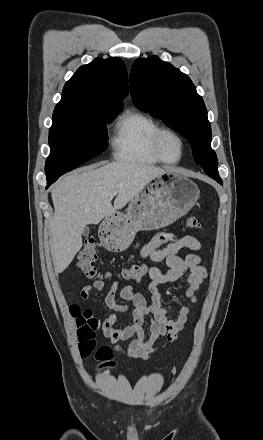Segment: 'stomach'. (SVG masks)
<instances>
[{
  "mask_svg": "<svg viewBox=\"0 0 263 440\" xmlns=\"http://www.w3.org/2000/svg\"><path fill=\"white\" fill-rule=\"evenodd\" d=\"M199 195L193 181L168 171L135 196L126 212H115L103 220L99 228L101 239L109 251L122 252L138 231L160 229L184 216Z\"/></svg>",
  "mask_w": 263,
  "mask_h": 440,
  "instance_id": "stomach-1",
  "label": "stomach"
}]
</instances>
